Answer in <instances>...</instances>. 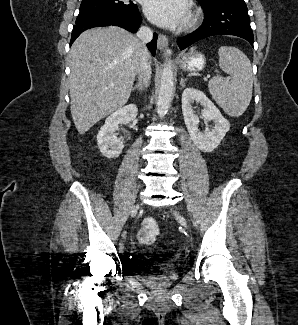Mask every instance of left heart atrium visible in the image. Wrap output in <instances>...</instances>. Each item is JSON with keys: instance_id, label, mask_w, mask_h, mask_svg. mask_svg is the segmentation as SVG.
<instances>
[{"instance_id": "1", "label": "left heart atrium", "mask_w": 298, "mask_h": 325, "mask_svg": "<svg viewBox=\"0 0 298 325\" xmlns=\"http://www.w3.org/2000/svg\"><path fill=\"white\" fill-rule=\"evenodd\" d=\"M143 9L150 22L167 29L182 27L189 16L184 0H145Z\"/></svg>"}]
</instances>
